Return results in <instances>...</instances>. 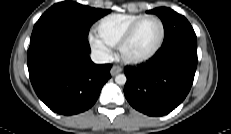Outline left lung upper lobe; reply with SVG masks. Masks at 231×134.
Masks as SVG:
<instances>
[{"label": "left lung upper lobe", "mask_w": 231, "mask_h": 134, "mask_svg": "<svg viewBox=\"0 0 231 134\" xmlns=\"http://www.w3.org/2000/svg\"><path fill=\"white\" fill-rule=\"evenodd\" d=\"M147 13L156 14L161 18L164 27L163 45L181 38L196 37L188 20L183 15L178 14L170 8L159 7L147 11Z\"/></svg>", "instance_id": "5c2ea615"}]
</instances>
